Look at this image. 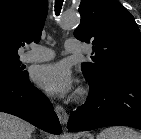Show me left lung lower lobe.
<instances>
[{"label": "left lung lower lobe", "mask_w": 141, "mask_h": 139, "mask_svg": "<svg viewBox=\"0 0 141 139\" xmlns=\"http://www.w3.org/2000/svg\"><path fill=\"white\" fill-rule=\"evenodd\" d=\"M88 82V99L71 114L69 131L111 125L141 129V76L111 74L98 84Z\"/></svg>", "instance_id": "obj_1"}]
</instances>
